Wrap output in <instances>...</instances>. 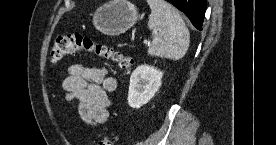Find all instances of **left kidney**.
<instances>
[{"label":"left kidney","mask_w":276,"mask_h":145,"mask_svg":"<svg viewBox=\"0 0 276 145\" xmlns=\"http://www.w3.org/2000/svg\"><path fill=\"white\" fill-rule=\"evenodd\" d=\"M163 72L149 65L138 66L130 77L128 104L140 108L148 103L161 86Z\"/></svg>","instance_id":"obj_1"}]
</instances>
